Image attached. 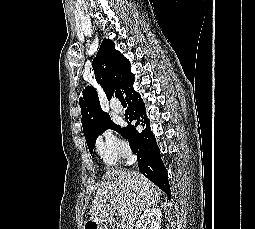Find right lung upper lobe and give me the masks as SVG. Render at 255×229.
<instances>
[{
	"label": "right lung upper lobe",
	"instance_id": "right-lung-upper-lobe-1",
	"mask_svg": "<svg viewBox=\"0 0 255 229\" xmlns=\"http://www.w3.org/2000/svg\"><path fill=\"white\" fill-rule=\"evenodd\" d=\"M92 66L96 81L101 85L108 99L112 97L115 89H122L123 92L126 90L131 75V65L129 60L115 49L113 41L106 38L102 41ZM79 104L83 132L87 140L105 120L110 119V116L102 111L97 93L92 87L83 91Z\"/></svg>",
	"mask_w": 255,
	"mask_h": 229
}]
</instances>
